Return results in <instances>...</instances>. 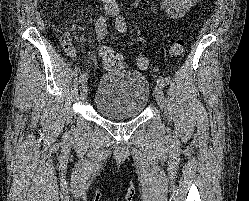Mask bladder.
Here are the masks:
<instances>
[{
	"label": "bladder",
	"mask_w": 249,
	"mask_h": 201,
	"mask_svg": "<svg viewBox=\"0 0 249 201\" xmlns=\"http://www.w3.org/2000/svg\"><path fill=\"white\" fill-rule=\"evenodd\" d=\"M150 98V85L141 72L109 71L99 79L93 104L97 112L109 119L125 120L140 116Z\"/></svg>",
	"instance_id": "bladder-1"
}]
</instances>
